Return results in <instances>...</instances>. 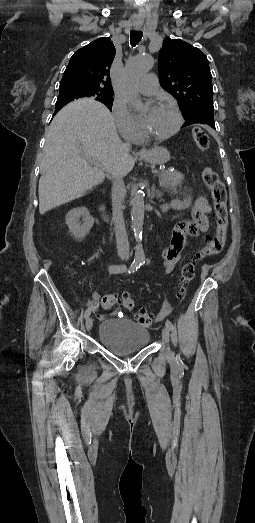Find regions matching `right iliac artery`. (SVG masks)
<instances>
[{"label":"right iliac artery","mask_w":255,"mask_h":523,"mask_svg":"<svg viewBox=\"0 0 255 523\" xmlns=\"http://www.w3.org/2000/svg\"><path fill=\"white\" fill-rule=\"evenodd\" d=\"M140 266H141V262H139V261H133L132 264H131V266L129 267L128 273H133V272L137 271V269L140 268ZM90 314H91V309L88 308V309L85 311L84 317H85V318H88Z\"/></svg>","instance_id":"obj_1"}]
</instances>
